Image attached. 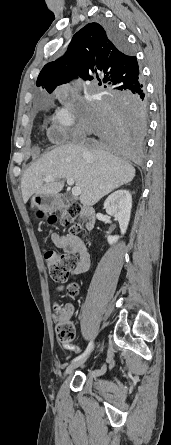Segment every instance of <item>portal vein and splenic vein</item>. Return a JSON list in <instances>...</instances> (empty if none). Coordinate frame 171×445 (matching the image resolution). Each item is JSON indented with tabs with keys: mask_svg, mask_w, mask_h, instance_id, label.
Here are the masks:
<instances>
[{
	"mask_svg": "<svg viewBox=\"0 0 171 445\" xmlns=\"http://www.w3.org/2000/svg\"><path fill=\"white\" fill-rule=\"evenodd\" d=\"M53 180H54V177L49 176V177H47V178L45 179V182H51V181H53ZM67 184H68L69 186L74 185V180H73L72 178H67ZM80 194H81V189H80V187H78V186H74V187L72 188V195L75 196V197H77V196H79Z\"/></svg>",
	"mask_w": 171,
	"mask_h": 445,
	"instance_id": "portal-vein-and-splenic-vein-1",
	"label": "portal vein and splenic vein"
}]
</instances>
